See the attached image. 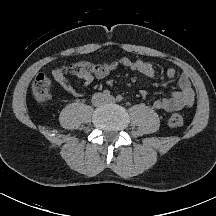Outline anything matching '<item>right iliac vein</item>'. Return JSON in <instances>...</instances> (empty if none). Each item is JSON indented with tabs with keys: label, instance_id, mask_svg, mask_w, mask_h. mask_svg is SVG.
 I'll return each mask as SVG.
<instances>
[{
	"label": "right iliac vein",
	"instance_id": "1",
	"mask_svg": "<svg viewBox=\"0 0 216 216\" xmlns=\"http://www.w3.org/2000/svg\"><path fill=\"white\" fill-rule=\"evenodd\" d=\"M94 102L97 105H101V104H103L105 102V100H104V98H103V96L101 94H97L95 96V98H94Z\"/></svg>",
	"mask_w": 216,
	"mask_h": 216
}]
</instances>
